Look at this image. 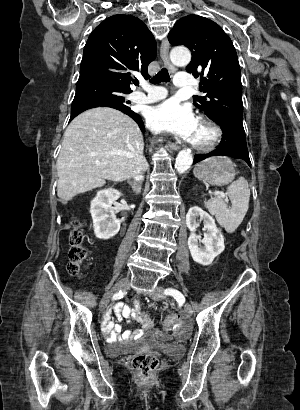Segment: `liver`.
I'll return each mask as SVG.
<instances>
[{
  "label": "liver",
  "instance_id": "liver-1",
  "mask_svg": "<svg viewBox=\"0 0 300 410\" xmlns=\"http://www.w3.org/2000/svg\"><path fill=\"white\" fill-rule=\"evenodd\" d=\"M143 150L142 133L129 116L107 107L81 113L64 133L57 159L58 197L67 202L106 180L132 178L148 167Z\"/></svg>",
  "mask_w": 300,
  "mask_h": 410
}]
</instances>
